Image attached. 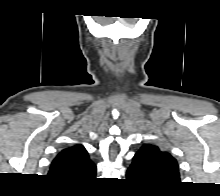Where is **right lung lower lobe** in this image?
<instances>
[{
  "mask_svg": "<svg viewBox=\"0 0 220 196\" xmlns=\"http://www.w3.org/2000/svg\"><path fill=\"white\" fill-rule=\"evenodd\" d=\"M91 178H95V177L92 176ZM64 184H66V185H70V186H76V185H79V184H82V183L73 184V183L64 182Z\"/></svg>",
  "mask_w": 220,
  "mask_h": 196,
  "instance_id": "1",
  "label": "right lung lower lobe"
}]
</instances>
